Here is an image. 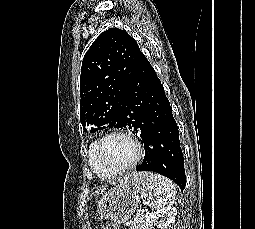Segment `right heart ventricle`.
Listing matches in <instances>:
<instances>
[{
  "instance_id": "1",
  "label": "right heart ventricle",
  "mask_w": 255,
  "mask_h": 229,
  "mask_svg": "<svg viewBox=\"0 0 255 229\" xmlns=\"http://www.w3.org/2000/svg\"><path fill=\"white\" fill-rule=\"evenodd\" d=\"M88 163L89 166L91 168V170L101 179H111L114 178L115 175H109L108 173H106L101 167L100 165L96 162V160L93 158L92 153H91V145L89 147L88 150Z\"/></svg>"
}]
</instances>
